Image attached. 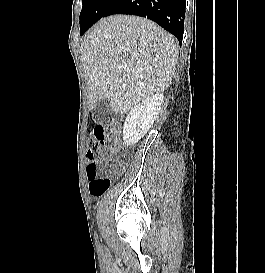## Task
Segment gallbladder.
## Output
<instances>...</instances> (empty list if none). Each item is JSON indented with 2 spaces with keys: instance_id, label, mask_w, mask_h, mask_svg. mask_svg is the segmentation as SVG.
I'll return each instance as SVG.
<instances>
[{
  "instance_id": "1",
  "label": "gallbladder",
  "mask_w": 265,
  "mask_h": 273,
  "mask_svg": "<svg viewBox=\"0 0 265 273\" xmlns=\"http://www.w3.org/2000/svg\"><path fill=\"white\" fill-rule=\"evenodd\" d=\"M92 117L96 123H108L117 117L107 99L100 100L92 110Z\"/></svg>"
}]
</instances>
